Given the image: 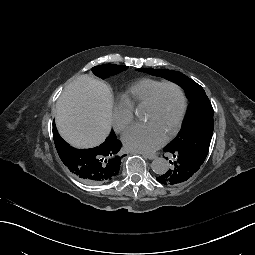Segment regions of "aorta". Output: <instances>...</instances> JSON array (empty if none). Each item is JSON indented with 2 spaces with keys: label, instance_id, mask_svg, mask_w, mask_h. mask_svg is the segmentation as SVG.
I'll return each instance as SVG.
<instances>
[{
  "label": "aorta",
  "instance_id": "obj_1",
  "mask_svg": "<svg viewBox=\"0 0 255 255\" xmlns=\"http://www.w3.org/2000/svg\"><path fill=\"white\" fill-rule=\"evenodd\" d=\"M151 168L154 173L162 175L169 169V163L165 158L157 157L152 161Z\"/></svg>",
  "mask_w": 255,
  "mask_h": 255
}]
</instances>
